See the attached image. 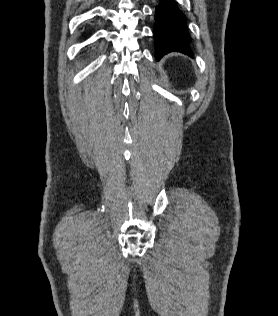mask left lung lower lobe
<instances>
[{"label":"left lung lower lobe","instance_id":"0a47b994","mask_svg":"<svg viewBox=\"0 0 278 316\" xmlns=\"http://www.w3.org/2000/svg\"><path fill=\"white\" fill-rule=\"evenodd\" d=\"M155 19L154 42L157 59L172 51L191 56V37L187 31L186 17L174 0H160L155 8Z\"/></svg>","mask_w":278,"mask_h":316}]
</instances>
